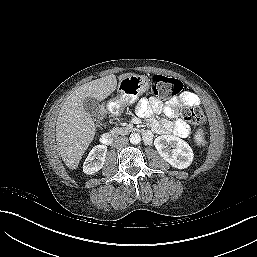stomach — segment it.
<instances>
[{
	"label": "stomach",
	"instance_id": "0dacf381",
	"mask_svg": "<svg viewBox=\"0 0 257 257\" xmlns=\"http://www.w3.org/2000/svg\"><path fill=\"white\" fill-rule=\"evenodd\" d=\"M149 79L143 75H130L119 82L118 97L122 104H133L135 100L149 89Z\"/></svg>",
	"mask_w": 257,
	"mask_h": 257
}]
</instances>
